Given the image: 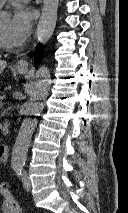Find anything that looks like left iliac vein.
Masks as SVG:
<instances>
[{
    "label": "left iliac vein",
    "mask_w": 128,
    "mask_h": 213,
    "mask_svg": "<svg viewBox=\"0 0 128 213\" xmlns=\"http://www.w3.org/2000/svg\"><path fill=\"white\" fill-rule=\"evenodd\" d=\"M23 186L27 191L31 190V180L27 176V174L24 172L22 177Z\"/></svg>",
    "instance_id": "left-iliac-vein-1"
}]
</instances>
